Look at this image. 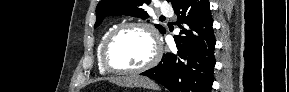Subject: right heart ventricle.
<instances>
[{
    "label": "right heart ventricle",
    "mask_w": 289,
    "mask_h": 92,
    "mask_svg": "<svg viewBox=\"0 0 289 92\" xmlns=\"http://www.w3.org/2000/svg\"><path fill=\"white\" fill-rule=\"evenodd\" d=\"M117 25H111L110 27H108L104 33L102 34L100 40H99V43H98V46H97V51H96V56H97V64H98V69L100 71L101 74H107L109 73L102 65V62H101V50H102V46H103V43L106 39V37L108 36V34L116 27Z\"/></svg>",
    "instance_id": "obj_1"
}]
</instances>
